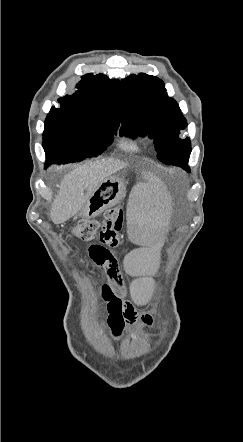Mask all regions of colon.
Returning a JSON list of instances; mask_svg holds the SVG:
<instances>
[{
  "mask_svg": "<svg viewBox=\"0 0 243 442\" xmlns=\"http://www.w3.org/2000/svg\"><path fill=\"white\" fill-rule=\"evenodd\" d=\"M123 225V213L120 207L107 210L100 220L82 219L71 228L74 238L87 243L85 250L89 252L91 259L103 265L112 262L115 255L112 249L121 243V231Z\"/></svg>",
  "mask_w": 243,
  "mask_h": 442,
  "instance_id": "colon-1",
  "label": "colon"
}]
</instances>
